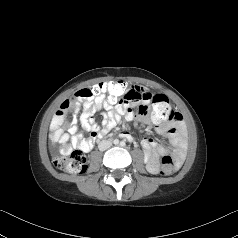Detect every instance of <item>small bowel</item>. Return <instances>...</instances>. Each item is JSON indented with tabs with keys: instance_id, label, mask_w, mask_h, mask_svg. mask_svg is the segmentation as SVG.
<instances>
[{
	"instance_id": "obj_1",
	"label": "small bowel",
	"mask_w": 238,
	"mask_h": 238,
	"mask_svg": "<svg viewBox=\"0 0 238 238\" xmlns=\"http://www.w3.org/2000/svg\"><path fill=\"white\" fill-rule=\"evenodd\" d=\"M152 100L153 96L146 89L139 86L131 87L119 103L95 98L82 105L79 101L67 99L62 102L51 121L52 139L61 144L60 152L62 154H68L72 147L89 151L97 138L104 137L118 123L138 120L141 123L153 125L157 133L165 136L170 142L176 159L181 161L186 148V129L181 115L176 112L171 121L158 122L150 118L147 113L138 111L136 116L133 112V106H137L138 110L139 108H148L147 105ZM70 108L74 109V116L68 126V132H64L61 126L64 123L66 112ZM97 110H102V127L97 125L94 118V112ZM78 122L85 130L90 132L89 139L85 140L81 135L76 134ZM121 136L129 141L133 139L128 131H122ZM141 145L148 170L151 173H157L160 166V157L167 154L170 148L149 137L144 138Z\"/></svg>"
}]
</instances>
